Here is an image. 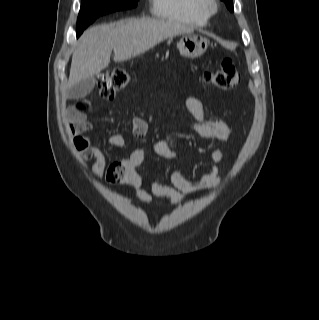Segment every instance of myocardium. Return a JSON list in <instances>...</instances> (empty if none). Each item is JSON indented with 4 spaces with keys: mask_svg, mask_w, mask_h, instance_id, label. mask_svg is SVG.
<instances>
[{
    "mask_svg": "<svg viewBox=\"0 0 319 320\" xmlns=\"http://www.w3.org/2000/svg\"><path fill=\"white\" fill-rule=\"evenodd\" d=\"M203 8L206 14L211 17L219 9V3L217 0H203Z\"/></svg>",
    "mask_w": 319,
    "mask_h": 320,
    "instance_id": "myocardium-1",
    "label": "myocardium"
}]
</instances>
